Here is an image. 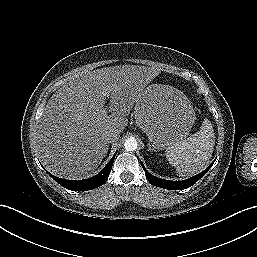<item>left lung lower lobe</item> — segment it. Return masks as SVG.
<instances>
[{
	"label": "left lung lower lobe",
	"mask_w": 257,
	"mask_h": 257,
	"mask_svg": "<svg viewBox=\"0 0 257 257\" xmlns=\"http://www.w3.org/2000/svg\"><path fill=\"white\" fill-rule=\"evenodd\" d=\"M214 161L203 172L199 173L196 176H193L189 179L182 180V181H169V180L160 179V178L150 174L146 170V168H145V166L143 165L142 162H141V165H142V167L145 171L146 178L148 179V181L152 185L157 186V187H161V188H164V189L183 190V189H187V188L191 187L193 184H195L211 168V166L214 164Z\"/></svg>",
	"instance_id": "0a47b994"
}]
</instances>
